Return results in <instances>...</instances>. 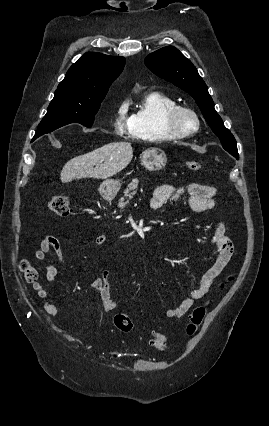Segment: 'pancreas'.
<instances>
[{
  "label": "pancreas",
  "mask_w": 269,
  "mask_h": 426,
  "mask_svg": "<svg viewBox=\"0 0 269 426\" xmlns=\"http://www.w3.org/2000/svg\"><path fill=\"white\" fill-rule=\"evenodd\" d=\"M138 179H133L127 186V188L124 191V196L119 199V208L123 209L126 204L129 203V200L133 198V196L136 194V189L138 186Z\"/></svg>",
  "instance_id": "pancreas-1"
}]
</instances>
